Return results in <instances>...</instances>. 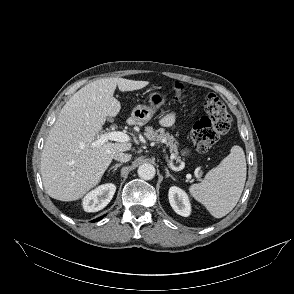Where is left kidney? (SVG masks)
<instances>
[{"label":"left kidney","instance_id":"5707ae66","mask_svg":"<svg viewBox=\"0 0 294 294\" xmlns=\"http://www.w3.org/2000/svg\"><path fill=\"white\" fill-rule=\"evenodd\" d=\"M168 198L173 210L184 217L190 215L191 205L188 195L179 187L172 186L169 189Z\"/></svg>","mask_w":294,"mask_h":294}]
</instances>
